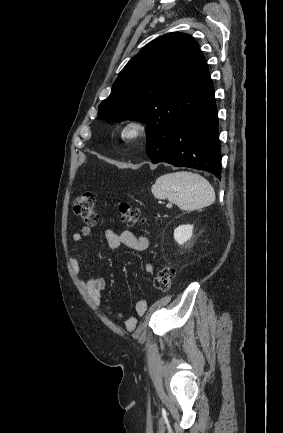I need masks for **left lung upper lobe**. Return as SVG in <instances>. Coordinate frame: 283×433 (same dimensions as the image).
<instances>
[{"instance_id": "5c2ea615", "label": "left lung upper lobe", "mask_w": 283, "mask_h": 433, "mask_svg": "<svg viewBox=\"0 0 283 433\" xmlns=\"http://www.w3.org/2000/svg\"><path fill=\"white\" fill-rule=\"evenodd\" d=\"M207 68L198 43L188 34L159 37L134 56L120 72L110 96L98 108L106 121L138 120L147 134L193 115L200 107L201 78Z\"/></svg>"}]
</instances>
